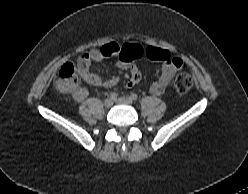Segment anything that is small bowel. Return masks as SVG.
I'll return each mask as SVG.
<instances>
[{
    "mask_svg": "<svg viewBox=\"0 0 248 194\" xmlns=\"http://www.w3.org/2000/svg\"><path fill=\"white\" fill-rule=\"evenodd\" d=\"M143 55H146L152 60L163 62L161 75L158 81L150 86V92L153 95L166 93L172 78L182 67V60L178 57H171L169 52L164 49L152 46L144 49L137 43L124 45H118L114 42L107 43L101 48L93 49L82 54L77 60V72L80 79L90 86L111 88L117 85L119 77L117 75H111L107 78H102L98 74L90 71L91 64L93 62L102 61L108 57L119 56L120 59L116 62V67L121 70L134 72L135 68L132 66V62L141 58ZM136 83H133L132 80L129 82L130 85ZM71 93L75 101L82 102L86 99L88 90L83 86H78L71 91Z\"/></svg>",
    "mask_w": 248,
    "mask_h": 194,
    "instance_id": "c3829d8e",
    "label": "small bowel"
}]
</instances>
